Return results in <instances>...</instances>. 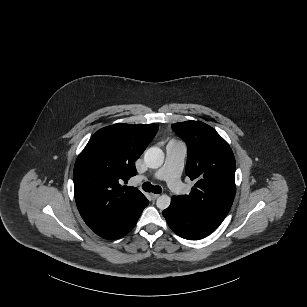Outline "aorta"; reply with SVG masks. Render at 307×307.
<instances>
[{"mask_svg":"<svg viewBox=\"0 0 307 307\" xmlns=\"http://www.w3.org/2000/svg\"><path fill=\"white\" fill-rule=\"evenodd\" d=\"M165 159V153L159 147H150L144 154L145 164L149 168H158L160 167ZM170 197L167 195H161L156 200V206L160 210H164L170 205Z\"/></svg>","mask_w":307,"mask_h":307,"instance_id":"762f6f07","label":"aorta"}]
</instances>
